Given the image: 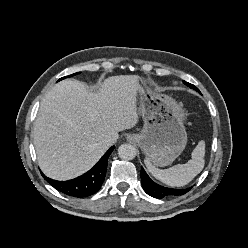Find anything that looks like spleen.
<instances>
[{"instance_id": "1", "label": "spleen", "mask_w": 248, "mask_h": 248, "mask_svg": "<svg viewBox=\"0 0 248 248\" xmlns=\"http://www.w3.org/2000/svg\"><path fill=\"white\" fill-rule=\"evenodd\" d=\"M205 142L201 140L191 154V160L177 164L169 169H158L147 159L144 160L149 172L158 180L171 187H181L191 182L203 169Z\"/></svg>"}]
</instances>
